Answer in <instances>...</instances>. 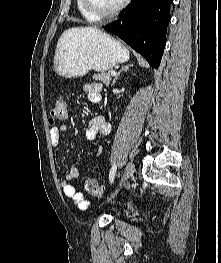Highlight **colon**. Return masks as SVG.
I'll use <instances>...</instances> for the list:
<instances>
[{
    "mask_svg": "<svg viewBox=\"0 0 221 263\" xmlns=\"http://www.w3.org/2000/svg\"><path fill=\"white\" fill-rule=\"evenodd\" d=\"M67 104L63 98H59L53 104L50 111V121L53 123L57 120H61L66 116ZM86 191L96 198H103L105 191L98 185V183L90 178L86 180L85 183Z\"/></svg>",
    "mask_w": 221,
    "mask_h": 263,
    "instance_id": "colon-1",
    "label": "colon"
}]
</instances>
